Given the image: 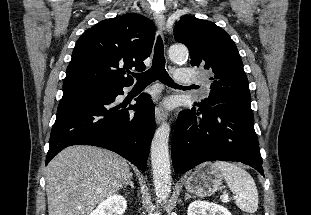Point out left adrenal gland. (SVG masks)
<instances>
[{"mask_svg": "<svg viewBox=\"0 0 311 215\" xmlns=\"http://www.w3.org/2000/svg\"><path fill=\"white\" fill-rule=\"evenodd\" d=\"M189 198H192L191 195L188 194V193H186V194H185V200H187V199H189Z\"/></svg>", "mask_w": 311, "mask_h": 215, "instance_id": "1", "label": "left adrenal gland"}]
</instances>
